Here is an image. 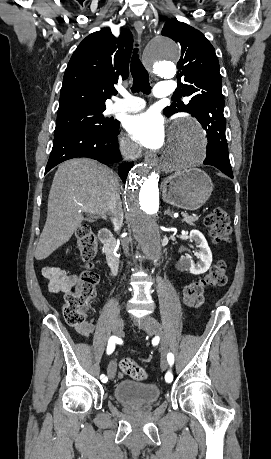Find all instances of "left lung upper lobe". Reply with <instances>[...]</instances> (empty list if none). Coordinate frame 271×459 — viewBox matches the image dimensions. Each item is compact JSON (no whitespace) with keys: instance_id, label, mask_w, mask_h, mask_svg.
<instances>
[{"instance_id":"obj_1","label":"left lung upper lobe","mask_w":271,"mask_h":459,"mask_svg":"<svg viewBox=\"0 0 271 459\" xmlns=\"http://www.w3.org/2000/svg\"><path fill=\"white\" fill-rule=\"evenodd\" d=\"M161 34L181 46L176 92L180 93V97H191L188 104L179 101L166 107L164 114L170 116L176 112H188L198 121L217 116L225 118L220 67L211 43L200 31L177 19L167 21Z\"/></svg>"}]
</instances>
